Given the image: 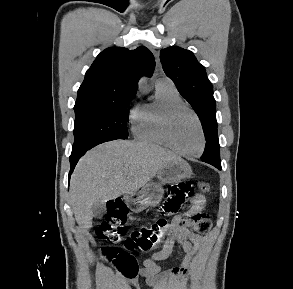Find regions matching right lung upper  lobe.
<instances>
[{
	"mask_svg": "<svg viewBox=\"0 0 293 289\" xmlns=\"http://www.w3.org/2000/svg\"><path fill=\"white\" fill-rule=\"evenodd\" d=\"M153 54L144 46L135 50L111 47L101 52L87 70L76 102L135 96L141 75L151 76Z\"/></svg>",
	"mask_w": 293,
	"mask_h": 289,
	"instance_id": "obj_1",
	"label": "right lung upper lobe"
}]
</instances>
